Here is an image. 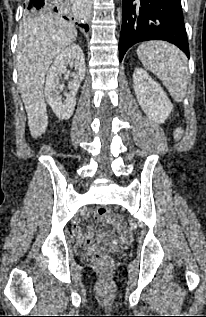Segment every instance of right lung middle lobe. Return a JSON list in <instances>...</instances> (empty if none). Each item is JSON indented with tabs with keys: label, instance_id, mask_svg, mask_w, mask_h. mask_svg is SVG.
<instances>
[{
	"label": "right lung middle lobe",
	"instance_id": "dd1d6c3e",
	"mask_svg": "<svg viewBox=\"0 0 206 317\" xmlns=\"http://www.w3.org/2000/svg\"><path fill=\"white\" fill-rule=\"evenodd\" d=\"M42 13H44V12H25V18H33V17H35V16H37V15H39V14H42Z\"/></svg>",
	"mask_w": 206,
	"mask_h": 317
}]
</instances>
